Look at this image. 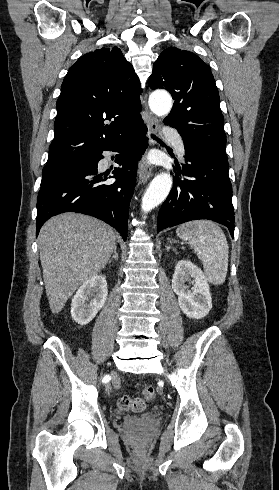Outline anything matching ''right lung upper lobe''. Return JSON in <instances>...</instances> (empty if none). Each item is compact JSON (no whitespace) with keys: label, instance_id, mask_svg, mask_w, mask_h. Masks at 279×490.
I'll use <instances>...</instances> for the list:
<instances>
[{"label":"right lung upper lobe","instance_id":"right-lung-upper-lobe-1","mask_svg":"<svg viewBox=\"0 0 279 490\" xmlns=\"http://www.w3.org/2000/svg\"><path fill=\"white\" fill-rule=\"evenodd\" d=\"M139 85L132 65L117 47L80 57L61 86L47 164L88 158L144 126Z\"/></svg>","mask_w":279,"mask_h":490}]
</instances>
